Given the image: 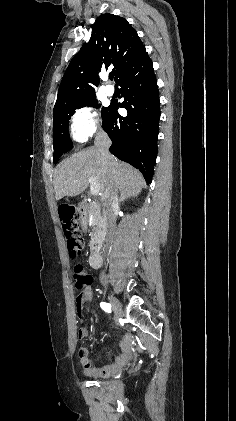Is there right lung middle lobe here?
I'll use <instances>...</instances> for the list:
<instances>
[{
  "label": "right lung middle lobe",
  "instance_id": "1",
  "mask_svg": "<svg viewBox=\"0 0 236 421\" xmlns=\"http://www.w3.org/2000/svg\"><path fill=\"white\" fill-rule=\"evenodd\" d=\"M93 106L95 108L100 107L97 105V100L95 96L88 98L76 100L67 104H64L56 109H54V163L58 162V158L65 152L69 151L72 148V142L70 140L68 132L69 119L74 114L76 109ZM107 107L102 108V116L106 112Z\"/></svg>",
  "mask_w": 236,
  "mask_h": 421
}]
</instances>
